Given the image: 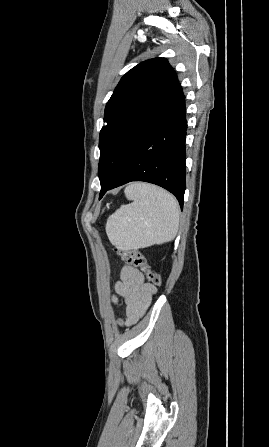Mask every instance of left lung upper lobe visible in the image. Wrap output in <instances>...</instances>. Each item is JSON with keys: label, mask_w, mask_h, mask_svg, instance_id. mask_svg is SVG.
<instances>
[{"label": "left lung upper lobe", "mask_w": 269, "mask_h": 447, "mask_svg": "<svg viewBox=\"0 0 269 447\" xmlns=\"http://www.w3.org/2000/svg\"><path fill=\"white\" fill-rule=\"evenodd\" d=\"M178 78L165 58L142 62L127 72L105 108L100 132L99 179L109 185L145 133L166 113Z\"/></svg>", "instance_id": "1"}]
</instances>
